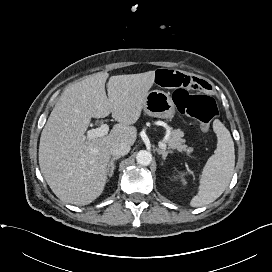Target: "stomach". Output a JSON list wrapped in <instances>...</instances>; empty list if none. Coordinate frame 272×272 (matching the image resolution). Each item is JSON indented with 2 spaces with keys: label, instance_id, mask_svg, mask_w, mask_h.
Returning <instances> with one entry per match:
<instances>
[{
  "label": "stomach",
  "instance_id": "0dacf381",
  "mask_svg": "<svg viewBox=\"0 0 272 272\" xmlns=\"http://www.w3.org/2000/svg\"><path fill=\"white\" fill-rule=\"evenodd\" d=\"M143 110L152 117L171 119L175 114V105L168 93L152 90L146 96Z\"/></svg>",
  "mask_w": 272,
  "mask_h": 272
}]
</instances>
